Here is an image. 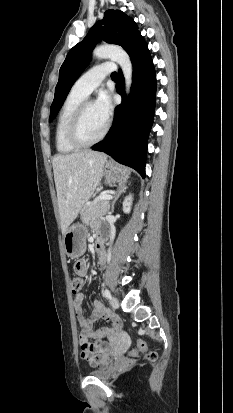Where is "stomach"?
<instances>
[{
  "mask_svg": "<svg viewBox=\"0 0 233 413\" xmlns=\"http://www.w3.org/2000/svg\"><path fill=\"white\" fill-rule=\"evenodd\" d=\"M103 175L109 185L123 183L130 176V170L112 162H106ZM87 230L81 224L70 226L63 236L64 249L68 257L78 258L85 252V238Z\"/></svg>",
  "mask_w": 233,
  "mask_h": 413,
  "instance_id": "stomach-1",
  "label": "stomach"
}]
</instances>
